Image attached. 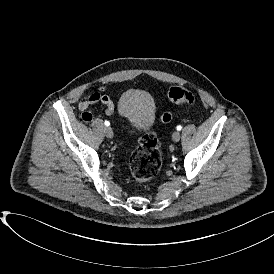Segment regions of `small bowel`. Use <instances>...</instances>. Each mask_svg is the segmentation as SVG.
<instances>
[{"mask_svg":"<svg viewBox=\"0 0 274 274\" xmlns=\"http://www.w3.org/2000/svg\"><path fill=\"white\" fill-rule=\"evenodd\" d=\"M107 89V86H101L78 103L77 108L80 114V118L83 122L90 123L93 120V113L90 107L96 103H101L103 105L104 112L107 115L113 113L114 104L112 100L105 94Z\"/></svg>","mask_w":274,"mask_h":274,"instance_id":"obj_1","label":"small bowel"}]
</instances>
